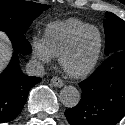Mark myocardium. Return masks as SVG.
I'll use <instances>...</instances> for the list:
<instances>
[{"mask_svg": "<svg viewBox=\"0 0 125 125\" xmlns=\"http://www.w3.org/2000/svg\"><path fill=\"white\" fill-rule=\"evenodd\" d=\"M91 29L95 30L99 35V47H98V50H97L94 58L91 60V62L85 68H83L81 70L74 71V70L69 69L65 63L67 55L69 54V52L72 50V48L76 44L78 38L85 31L91 30ZM103 44H104L103 34L98 27H96L94 25H89V26L77 31L70 38V40L67 42V44L63 47L62 51L60 52V54L58 56V60H59V64H60L61 68L64 70V72H66L70 77H73V78H82V77L87 76L88 74H90L93 71L96 64L98 63V60L102 53Z\"/></svg>", "mask_w": 125, "mask_h": 125, "instance_id": "obj_1", "label": "myocardium"}]
</instances>
